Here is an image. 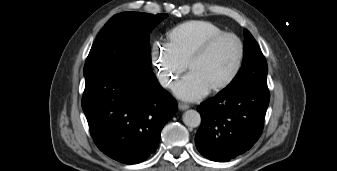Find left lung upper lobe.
Wrapping results in <instances>:
<instances>
[{"label": "left lung upper lobe", "instance_id": "1", "mask_svg": "<svg viewBox=\"0 0 337 171\" xmlns=\"http://www.w3.org/2000/svg\"><path fill=\"white\" fill-rule=\"evenodd\" d=\"M244 36V58L242 67L231 84L221 92L252 84L267 86L268 67L265 57L253 36L246 29H244Z\"/></svg>", "mask_w": 337, "mask_h": 171}]
</instances>
